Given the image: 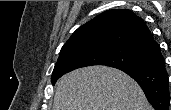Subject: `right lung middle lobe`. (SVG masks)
<instances>
[{
    "label": "right lung middle lobe",
    "mask_w": 171,
    "mask_h": 110,
    "mask_svg": "<svg viewBox=\"0 0 171 110\" xmlns=\"http://www.w3.org/2000/svg\"><path fill=\"white\" fill-rule=\"evenodd\" d=\"M156 60L154 56L125 46L108 43L77 45L60 51L51 82L54 85L62 75L85 66L105 65L120 70L140 69L153 64Z\"/></svg>",
    "instance_id": "right-lung-middle-lobe-1"
}]
</instances>
